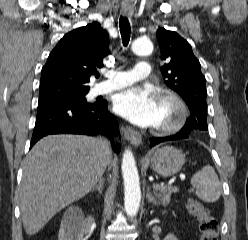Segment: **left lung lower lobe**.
Returning <instances> with one entry per match:
<instances>
[{
    "label": "left lung lower lobe",
    "instance_id": "1",
    "mask_svg": "<svg viewBox=\"0 0 248 240\" xmlns=\"http://www.w3.org/2000/svg\"><path fill=\"white\" fill-rule=\"evenodd\" d=\"M188 138V132H179L176 135L168 136V137H162V138H151L150 139V146L153 147L158 143L164 142V141H172V140H179V139H185Z\"/></svg>",
    "mask_w": 248,
    "mask_h": 240
}]
</instances>
